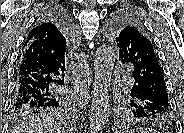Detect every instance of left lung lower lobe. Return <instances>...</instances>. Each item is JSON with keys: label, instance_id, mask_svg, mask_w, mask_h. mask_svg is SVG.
<instances>
[{"label": "left lung lower lobe", "instance_id": "obj_1", "mask_svg": "<svg viewBox=\"0 0 184 133\" xmlns=\"http://www.w3.org/2000/svg\"><path fill=\"white\" fill-rule=\"evenodd\" d=\"M134 85L132 114L137 118H166L171 113L167 87L162 71L144 59L137 58L134 63ZM174 123V122H173Z\"/></svg>", "mask_w": 184, "mask_h": 133}]
</instances>
